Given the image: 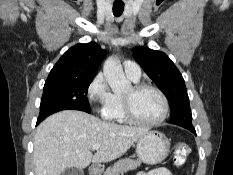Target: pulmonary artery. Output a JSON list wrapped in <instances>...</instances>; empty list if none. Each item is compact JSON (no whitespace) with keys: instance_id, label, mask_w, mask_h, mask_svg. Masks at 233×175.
Instances as JSON below:
<instances>
[{"instance_id":"e3ab8cb5","label":"pulmonary artery","mask_w":233,"mask_h":175,"mask_svg":"<svg viewBox=\"0 0 233 175\" xmlns=\"http://www.w3.org/2000/svg\"><path fill=\"white\" fill-rule=\"evenodd\" d=\"M124 71L128 78L133 81H138L141 76V69L139 65L134 61L124 62Z\"/></svg>"}]
</instances>
